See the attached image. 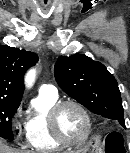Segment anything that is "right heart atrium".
<instances>
[{"mask_svg":"<svg viewBox=\"0 0 130 153\" xmlns=\"http://www.w3.org/2000/svg\"><path fill=\"white\" fill-rule=\"evenodd\" d=\"M21 110H22V108H21V106L16 110V112H15V115H14V120H15V122H16V124H17V126L20 128L21 126H20V123H19V121H18V118H19V116H20V114H21Z\"/></svg>","mask_w":130,"mask_h":153,"instance_id":"1","label":"right heart atrium"}]
</instances>
